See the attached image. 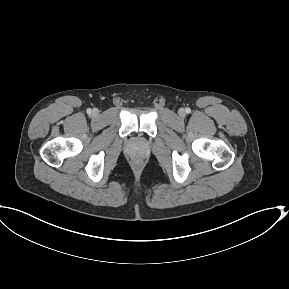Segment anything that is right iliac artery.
I'll return each instance as SVG.
<instances>
[{"instance_id": "obj_1", "label": "right iliac artery", "mask_w": 289, "mask_h": 289, "mask_svg": "<svg viewBox=\"0 0 289 289\" xmlns=\"http://www.w3.org/2000/svg\"><path fill=\"white\" fill-rule=\"evenodd\" d=\"M87 113L88 114H91L92 113V110L89 108V109H87Z\"/></svg>"}]
</instances>
